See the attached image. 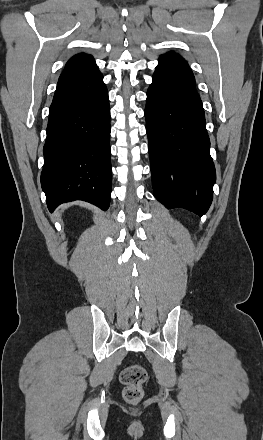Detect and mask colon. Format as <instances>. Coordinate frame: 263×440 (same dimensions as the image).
Here are the masks:
<instances>
[{"label": "colon", "instance_id": "1", "mask_svg": "<svg viewBox=\"0 0 263 440\" xmlns=\"http://www.w3.org/2000/svg\"><path fill=\"white\" fill-rule=\"evenodd\" d=\"M120 379L124 384V400L130 404L138 403L143 397V384L147 379L145 368L138 364L130 365L122 371Z\"/></svg>", "mask_w": 263, "mask_h": 440}]
</instances>
